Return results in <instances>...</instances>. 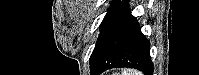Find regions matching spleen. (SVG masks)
<instances>
[{"instance_id":"1","label":"spleen","mask_w":199,"mask_h":75,"mask_svg":"<svg viewBox=\"0 0 199 75\" xmlns=\"http://www.w3.org/2000/svg\"><path fill=\"white\" fill-rule=\"evenodd\" d=\"M123 75H141V73L136 70H129L128 72H124Z\"/></svg>"}]
</instances>
